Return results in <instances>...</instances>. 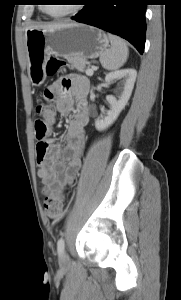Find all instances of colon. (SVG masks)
<instances>
[{"mask_svg":"<svg viewBox=\"0 0 181 300\" xmlns=\"http://www.w3.org/2000/svg\"><path fill=\"white\" fill-rule=\"evenodd\" d=\"M66 65V62L58 57L49 59L46 66V74L52 77L59 73ZM52 96L45 94V100L35 107V113L42 119L35 122V135L37 143H44L48 136L47 122L54 120L56 109L52 103ZM65 201V193L53 192L44 200V211L46 216L52 221H58L63 217V204Z\"/></svg>","mask_w":181,"mask_h":300,"instance_id":"obj_1","label":"colon"}]
</instances>
